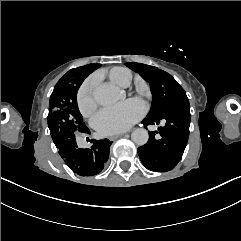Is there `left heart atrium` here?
Returning <instances> with one entry per match:
<instances>
[{
  "label": "left heart atrium",
  "mask_w": 241,
  "mask_h": 241,
  "mask_svg": "<svg viewBox=\"0 0 241 241\" xmlns=\"http://www.w3.org/2000/svg\"><path fill=\"white\" fill-rule=\"evenodd\" d=\"M144 114L143 107L128 109L124 106L103 108L91 119V123L103 135L128 131Z\"/></svg>",
  "instance_id": "left-heart-atrium-1"
}]
</instances>
